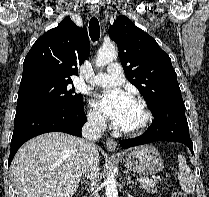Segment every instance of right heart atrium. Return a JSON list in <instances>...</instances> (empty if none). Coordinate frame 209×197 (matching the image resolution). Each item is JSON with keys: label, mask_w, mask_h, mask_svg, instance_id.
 <instances>
[{"label": "right heart atrium", "mask_w": 209, "mask_h": 197, "mask_svg": "<svg viewBox=\"0 0 209 197\" xmlns=\"http://www.w3.org/2000/svg\"><path fill=\"white\" fill-rule=\"evenodd\" d=\"M89 124L97 129H102L105 126L104 118L95 109H90L87 113Z\"/></svg>", "instance_id": "1"}]
</instances>
